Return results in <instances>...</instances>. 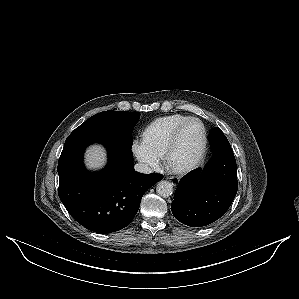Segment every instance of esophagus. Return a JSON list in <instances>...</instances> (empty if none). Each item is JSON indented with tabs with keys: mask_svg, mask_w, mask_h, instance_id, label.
Masks as SVG:
<instances>
[{
	"mask_svg": "<svg viewBox=\"0 0 299 299\" xmlns=\"http://www.w3.org/2000/svg\"><path fill=\"white\" fill-rule=\"evenodd\" d=\"M167 180H169L173 184V186H177L180 181L178 178L175 177H167Z\"/></svg>",
	"mask_w": 299,
	"mask_h": 299,
	"instance_id": "obj_1",
	"label": "esophagus"
}]
</instances>
